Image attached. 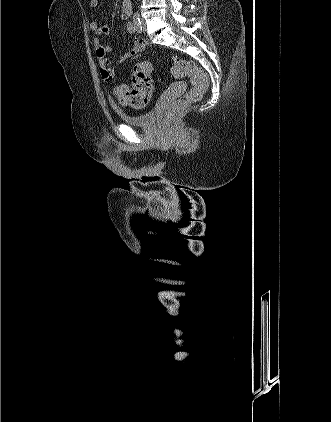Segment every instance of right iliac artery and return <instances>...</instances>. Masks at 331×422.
I'll return each mask as SVG.
<instances>
[{
    "instance_id": "right-iliac-artery-1",
    "label": "right iliac artery",
    "mask_w": 331,
    "mask_h": 422,
    "mask_svg": "<svg viewBox=\"0 0 331 422\" xmlns=\"http://www.w3.org/2000/svg\"><path fill=\"white\" fill-rule=\"evenodd\" d=\"M133 22H134L136 31L138 33H141L142 32V22H141V19H140L138 13H135L134 14V16H133Z\"/></svg>"
}]
</instances>
